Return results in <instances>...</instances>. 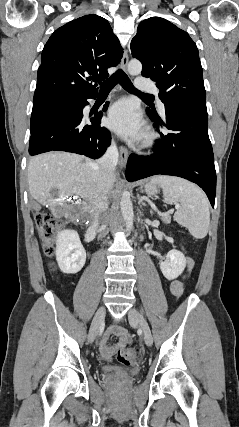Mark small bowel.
I'll return each instance as SVG.
<instances>
[{"label":"small bowel","mask_w":239,"mask_h":427,"mask_svg":"<svg viewBox=\"0 0 239 427\" xmlns=\"http://www.w3.org/2000/svg\"><path fill=\"white\" fill-rule=\"evenodd\" d=\"M187 265L188 270H190L192 266V261L190 259L187 260ZM169 289L172 295L179 297L183 291V282L181 280H174L170 283ZM111 336H117L119 338L117 343L112 346L108 344V339ZM129 340V334L126 329L120 326H111L106 330L99 343L101 357L104 360H110L113 354L124 347L129 342Z\"/></svg>","instance_id":"obj_1"}]
</instances>
